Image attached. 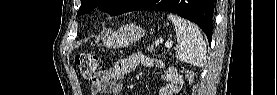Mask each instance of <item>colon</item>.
Returning a JSON list of instances; mask_svg holds the SVG:
<instances>
[{
  "mask_svg": "<svg viewBox=\"0 0 277 95\" xmlns=\"http://www.w3.org/2000/svg\"><path fill=\"white\" fill-rule=\"evenodd\" d=\"M77 67L80 74L88 81L92 82L95 79L96 72L99 68V59L91 53L79 54L75 57ZM189 82L193 81L191 74H188Z\"/></svg>",
  "mask_w": 277,
  "mask_h": 95,
  "instance_id": "obj_1",
  "label": "colon"
}]
</instances>
